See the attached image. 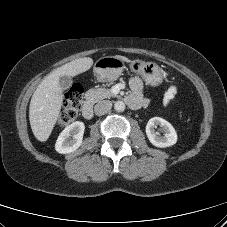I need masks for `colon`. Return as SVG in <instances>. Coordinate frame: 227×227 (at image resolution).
I'll use <instances>...</instances> for the list:
<instances>
[{"label":"colon","instance_id":"5ec220e1","mask_svg":"<svg viewBox=\"0 0 227 227\" xmlns=\"http://www.w3.org/2000/svg\"><path fill=\"white\" fill-rule=\"evenodd\" d=\"M83 103V88L79 84H74L65 94L63 101V111L59 118V126L63 127L73 122Z\"/></svg>","mask_w":227,"mask_h":227}]
</instances>
